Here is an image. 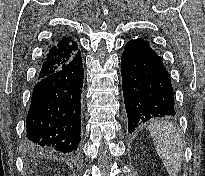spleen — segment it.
Here are the masks:
<instances>
[{
	"label": "spleen",
	"mask_w": 205,
	"mask_h": 176,
	"mask_svg": "<svg viewBox=\"0 0 205 176\" xmlns=\"http://www.w3.org/2000/svg\"><path fill=\"white\" fill-rule=\"evenodd\" d=\"M156 151L170 176L181 169L183 142L175 126L167 121H156L149 126Z\"/></svg>",
	"instance_id": "3e777b00"
}]
</instances>
